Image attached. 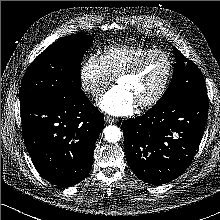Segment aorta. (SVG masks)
Here are the masks:
<instances>
[{"label": "aorta", "instance_id": "1", "mask_svg": "<svg viewBox=\"0 0 220 220\" xmlns=\"http://www.w3.org/2000/svg\"><path fill=\"white\" fill-rule=\"evenodd\" d=\"M105 139L110 143H116L121 139V131L120 128H118L115 125H109L107 126L104 131Z\"/></svg>", "mask_w": 220, "mask_h": 220}]
</instances>
